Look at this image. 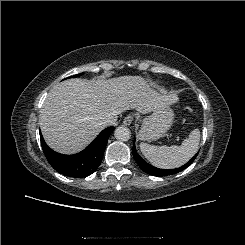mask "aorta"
<instances>
[{
    "label": "aorta",
    "instance_id": "762f6f07",
    "mask_svg": "<svg viewBox=\"0 0 245 245\" xmlns=\"http://www.w3.org/2000/svg\"><path fill=\"white\" fill-rule=\"evenodd\" d=\"M114 136L117 140L126 142L131 137V132L127 127L120 126L115 129Z\"/></svg>",
    "mask_w": 245,
    "mask_h": 245
}]
</instances>
